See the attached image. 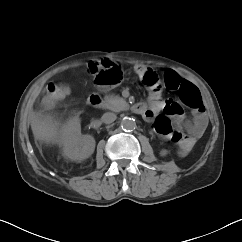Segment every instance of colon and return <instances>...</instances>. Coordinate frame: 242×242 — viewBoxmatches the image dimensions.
<instances>
[{"label": "colon", "instance_id": "1", "mask_svg": "<svg viewBox=\"0 0 242 242\" xmlns=\"http://www.w3.org/2000/svg\"><path fill=\"white\" fill-rule=\"evenodd\" d=\"M87 73L94 77L98 86L106 87L119 83L122 79L120 67L114 65H103L102 62H90L87 65ZM143 83L152 91L159 92L160 82L158 76L153 71H148L142 77ZM165 83L168 89L178 90L180 100L194 111L202 110V101L198 89L185 80H180L173 74L168 73L165 77ZM70 92L68 85L62 82H52L46 86L43 103L51 106L65 98ZM154 130L161 136H170L172 133L171 123L163 115H156L153 122ZM176 141V138H173Z\"/></svg>", "mask_w": 242, "mask_h": 242}]
</instances>
